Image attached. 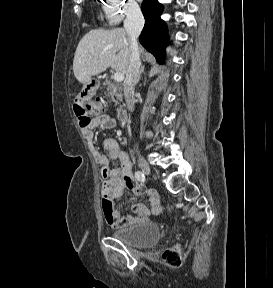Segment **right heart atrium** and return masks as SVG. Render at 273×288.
Segmentation results:
<instances>
[{
	"label": "right heart atrium",
	"instance_id": "d8ad5b80",
	"mask_svg": "<svg viewBox=\"0 0 273 288\" xmlns=\"http://www.w3.org/2000/svg\"><path fill=\"white\" fill-rule=\"evenodd\" d=\"M101 6L110 25H116L126 16H133L139 12L135 0H101Z\"/></svg>",
	"mask_w": 273,
	"mask_h": 288
}]
</instances>
